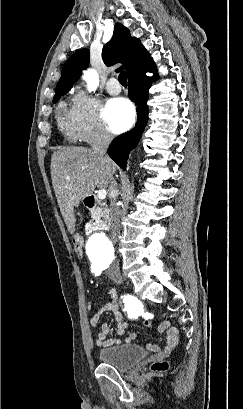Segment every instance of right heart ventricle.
Instances as JSON below:
<instances>
[{"label":"right heart ventricle","instance_id":"obj_1","mask_svg":"<svg viewBox=\"0 0 243 409\" xmlns=\"http://www.w3.org/2000/svg\"><path fill=\"white\" fill-rule=\"evenodd\" d=\"M57 121L59 128L69 137L74 138L70 119V109L62 102L58 108Z\"/></svg>","mask_w":243,"mask_h":409}]
</instances>
